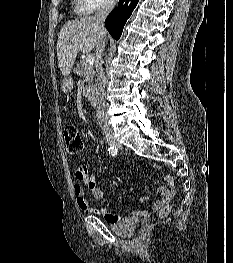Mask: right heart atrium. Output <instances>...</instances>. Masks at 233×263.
Listing matches in <instances>:
<instances>
[{
    "instance_id": "1",
    "label": "right heart atrium",
    "mask_w": 233,
    "mask_h": 263,
    "mask_svg": "<svg viewBox=\"0 0 233 263\" xmlns=\"http://www.w3.org/2000/svg\"><path fill=\"white\" fill-rule=\"evenodd\" d=\"M118 0H77V8L82 13H90L102 7H111Z\"/></svg>"
}]
</instances>
